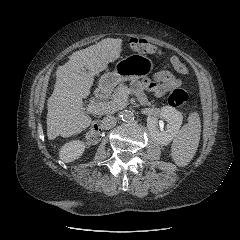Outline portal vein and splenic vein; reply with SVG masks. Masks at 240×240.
<instances>
[{"instance_id": "1", "label": "portal vein and splenic vein", "mask_w": 240, "mask_h": 240, "mask_svg": "<svg viewBox=\"0 0 240 240\" xmlns=\"http://www.w3.org/2000/svg\"><path fill=\"white\" fill-rule=\"evenodd\" d=\"M115 109V102L109 101L105 103L94 104L91 103L88 105L87 111L88 112H96V113H105Z\"/></svg>"}]
</instances>
